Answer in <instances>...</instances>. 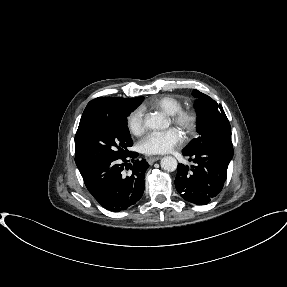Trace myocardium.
Returning a JSON list of instances; mask_svg holds the SVG:
<instances>
[{
    "mask_svg": "<svg viewBox=\"0 0 287 287\" xmlns=\"http://www.w3.org/2000/svg\"><path fill=\"white\" fill-rule=\"evenodd\" d=\"M170 120L186 137H190L196 132L199 123L198 113L190 108L180 109L176 113L170 115Z\"/></svg>",
    "mask_w": 287,
    "mask_h": 287,
    "instance_id": "myocardium-1",
    "label": "myocardium"
}]
</instances>
